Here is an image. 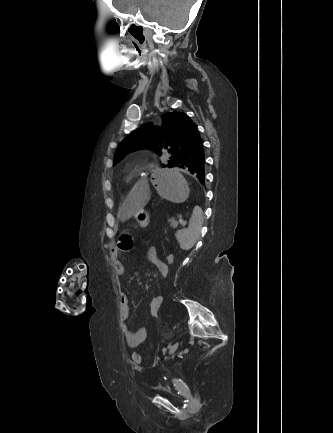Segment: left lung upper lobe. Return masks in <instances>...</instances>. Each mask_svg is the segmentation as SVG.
<instances>
[{
  "label": "left lung upper lobe",
  "instance_id": "5c2ea615",
  "mask_svg": "<svg viewBox=\"0 0 333 433\" xmlns=\"http://www.w3.org/2000/svg\"><path fill=\"white\" fill-rule=\"evenodd\" d=\"M162 117L164 118L162 128L146 123L125 138L115 152L113 164L121 161L132 151L155 148L161 138H164V148H171L169 149L171 157L168 164L163 167L172 168L191 147L201 140L196 124L187 114L170 112Z\"/></svg>",
  "mask_w": 333,
  "mask_h": 433
}]
</instances>
